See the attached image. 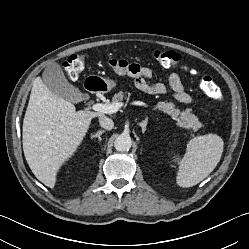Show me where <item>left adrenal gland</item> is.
<instances>
[{"mask_svg": "<svg viewBox=\"0 0 249 249\" xmlns=\"http://www.w3.org/2000/svg\"><path fill=\"white\" fill-rule=\"evenodd\" d=\"M148 123V118L146 117V119L142 122L139 123V126L142 128V133L144 134L146 131V126Z\"/></svg>", "mask_w": 249, "mask_h": 249, "instance_id": "a2214340", "label": "left adrenal gland"}]
</instances>
